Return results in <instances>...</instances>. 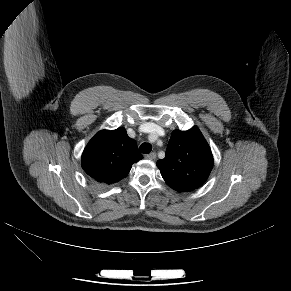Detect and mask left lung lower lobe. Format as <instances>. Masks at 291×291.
Masks as SVG:
<instances>
[{
	"label": "left lung lower lobe",
	"instance_id": "0a47b994",
	"mask_svg": "<svg viewBox=\"0 0 291 291\" xmlns=\"http://www.w3.org/2000/svg\"><path fill=\"white\" fill-rule=\"evenodd\" d=\"M174 190H176L178 192H187V191H185L184 189H181V188H174Z\"/></svg>",
	"mask_w": 291,
	"mask_h": 291
}]
</instances>
